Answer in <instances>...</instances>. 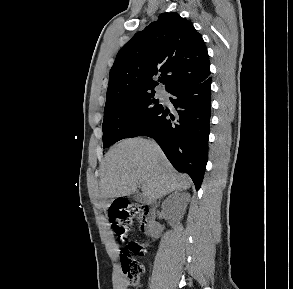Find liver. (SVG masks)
Instances as JSON below:
<instances>
[{
    "mask_svg": "<svg viewBox=\"0 0 293 289\" xmlns=\"http://www.w3.org/2000/svg\"><path fill=\"white\" fill-rule=\"evenodd\" d=\"M140 186L143 199L154 201L173 191L189 189L191 180L175 171L154 141L124 139L105 155L101 166L100 197L128 196Z\"/></svg>",
    "mask_w": 293,
    "mask_h": 289,
    "instance_id": "obj_1",
    "label": "liver"
}]
</instances>
